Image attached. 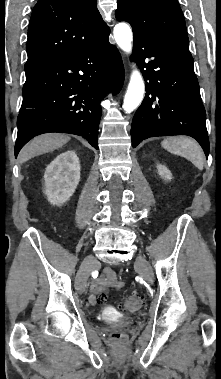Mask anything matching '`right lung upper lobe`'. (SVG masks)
<instances>
[{"label":"right lung upper lobe","instance_id":"obj_1","mask_svg":"<svg viewBox=\"0 0 221 379\" xmlns=\"http://www.w3.org/2000/svg\"><path fill=\"white\" fill-rule=\"evenodd\" d=\"M108 29L96 0H38L29 23L25 68L78 49Z\"/></svg>","mask_w":221,"mask_h":379}]
</instances>
